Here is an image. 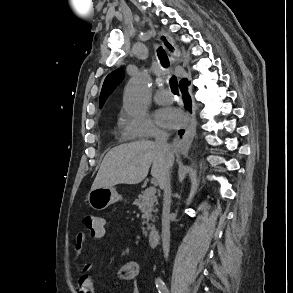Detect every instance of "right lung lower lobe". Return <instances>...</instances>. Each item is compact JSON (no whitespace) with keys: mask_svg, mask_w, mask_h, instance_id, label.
I'll return each mask as SVG.
<instances>
[{"mask_svg":"<svg viewBox=\"0 0 293 293\" xmlns=\"http://www.w3.org/2000/svg\"><path fill=\"white\" fill-rule=\"evenodd\" d=\"M188 85H189V82L185 79L184 81H182L180 89L183 94L184 105L191 112L192 105H191L190 95L188 94V87H187ZM179 134L183 135L184 130H180Z\"/></svg>","mask_w":293,"mask_h":293,"instance_id":"obj_1","label":"right lung lower lobe"}]
</instances>
